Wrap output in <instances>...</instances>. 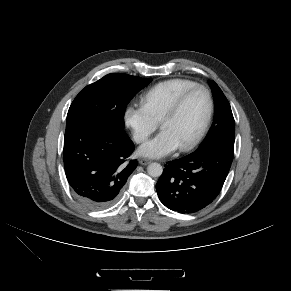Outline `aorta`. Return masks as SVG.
<instances>
[{"mask_svg":"<svg viewBox=\"0 0 291 291\" xmlns=\"http://www.w3.org/2000/svg\"><path fill=\"white\" fill-rule=\"evenodd\" d=\"M147 172L151 177H159L163 173V168L159 163H151L147 167Z\"/></svg>","mask_w":291,"mask_h":291,"instance_id":"aorta-1","label":"aorta"}]
</instances>
